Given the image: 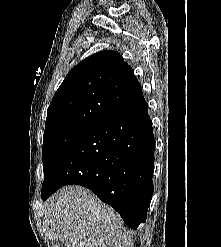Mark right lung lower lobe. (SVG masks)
I'll use <instances>...</instances> for the list:
<instances>
[{"label":"right lung lower lobe","mask_w":221,"mask_h":247,"mask_svg":"<svg viewBox=\"0 0 221 247\" xmlns=\"http://www.w3.org/2000/svg\"><path fill=\"white\" fill-rule=\"evenodd\" d=\"M155 140L148 105L121 111L82 134L42 185L46 200L57 189L78 184L112 206L127 226L146 221L153 195Z\"/></svg>","instance_id":"98d812e1"}]
</instances>
